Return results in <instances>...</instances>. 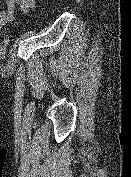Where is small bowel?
Listing matches in <instances>:
<instances>
[{
	"instance_id": "obj_1",
	"label": "small bowel",
	"mask_w": 131,
	"mask_h": 177,
	"mask_svg": "<svg viewBox=\"0 0 131 177\" xmlns=\"http://www.w3.org/2000/svg\"><path fill=\"white\" fill-rule=\"evenodd\" d=\"M35 4V0H0V30L15 20L17 11L27 13Z\"/></svg>"
}]
</instances>
